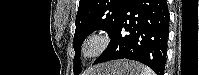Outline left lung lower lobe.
<instances>
[{
    "label": "left lung lower lobe",
    "mask_w": 199,
    "mask_h": 75,
    "mask_svg": "<svg viewBox=\"0 0 199 75\" xmlns=\"http://www.w3.org/2000/svg\"><path fill=\"white\" fill-rule=\"evenodd\" d=\"M169 11L166 0H128L106 50L93 65L131 59L164 75Z\"/></svg>",
    "instance_id": "obj_1"
}]
</instances>
